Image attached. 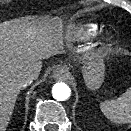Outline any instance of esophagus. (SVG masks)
Here are the masks:
<instances>
[{
	"label": "esophagus",
	"instance_id": "esophagus-1",
	"mask_svg": "<svg viewBox=\"0 0 131 131\" xmlns=\"http://www.w3.org/2000/svg\"><path fill=\"white\" fill-rule=\"evenodd\" d=\"M68 73L69 67L67 65H63L54 70L52 77L55 79H63L68 75Z\"/></svg>",
	"mask_w": 131,
	"mask_h": 131
}]
</instances>
